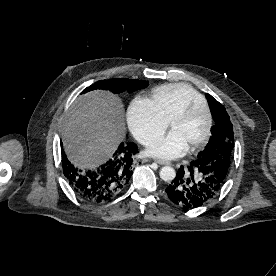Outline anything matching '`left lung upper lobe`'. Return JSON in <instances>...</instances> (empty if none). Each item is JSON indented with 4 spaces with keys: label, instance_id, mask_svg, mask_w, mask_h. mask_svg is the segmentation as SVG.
I'll return each mask as SVG.
<instances>
[{
    "label": "left lung upper lobe",
    "instance_id": "left-lung-upper-lobe-1",
    "mask_svg": "<svg viewBox=\"0 0 276 276\" xmlns=\"http://www.w3.org/2000/svg\"><path fill=\"white\" fill-rule=\"evenodd\" d=\"M206 98L215 126H212V137L205 149L198 154V158L203 160V165L209 166L211 172L221 176L224 184L233 158V125L224 106L210 94H206Z\"/></svg>",
    "mask_w": 276,
    "mask_h": 276
}]
</instances>
